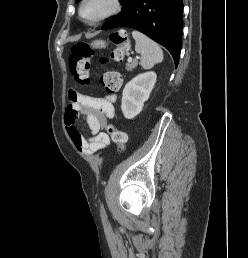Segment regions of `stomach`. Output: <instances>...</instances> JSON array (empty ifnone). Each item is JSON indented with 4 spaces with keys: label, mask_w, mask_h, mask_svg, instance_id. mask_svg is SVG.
Segmentation results:
<instances>
[{
    "label": "stomach",
    "mask_w": 248,
    "mask_h": 258,
    "mask_svg": "<svg viewBox=\"0 0 248 258\" xmlns=\"http://www.w3.org/2000/svg\"><path fill=\"white\" fill-rule=\"evenodd\" d=\"M91 45L94 48L100 49V48H105L107 46V43L105 41H102V40H96V41H93L91 43Z\"/></svg>",
    "instance_id": "1"
}]
</instances>
